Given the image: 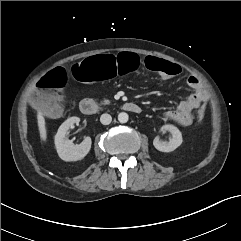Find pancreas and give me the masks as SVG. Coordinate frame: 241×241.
<instances>
[{
  "label": "pancreas",
  "mask_w": 241,
  "mask_h": 241,
  "mask_svg": "<svg viewBox=\"0 0 241 241\" xmlns=\"http://www.w3.org/2000/svg\"><path fill=\"white\" fill-rule=\"evenodd\" d=\"M102 103L106 105V104H110V103H111V101H110V100H108V99H104Z\"/></svg>",
  "instance_id": "cf45deb5"
}]
</instances>
